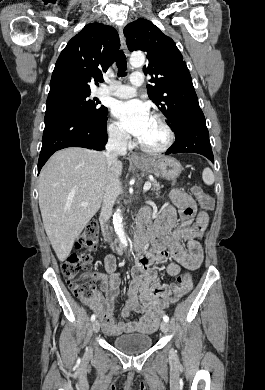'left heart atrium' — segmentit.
I'll return each instance as SVG.
<instances>
[{
	"mask_svg": "<svg viewBox=\"0 0 265 390\" xmlns=\"http://www.w3.org/2000/svg\"><path fill=\"white\" fill-rule=\"evenodd\" d=\"M113 113L120 126L138 139L144 135L152 118L147 105L139 100L117 102Z\"/></svg>",
	"mask_w": 265,
	"mask_h": 390,
	"instance_id": "1",
	"label": "left heart atrium"
}]
</instances>
